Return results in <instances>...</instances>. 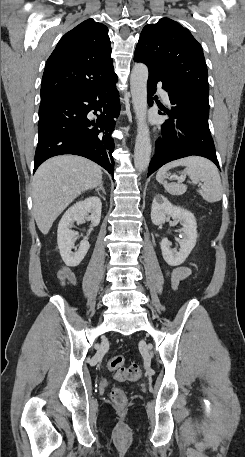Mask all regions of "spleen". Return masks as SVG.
Instances as JSON below:
<instances>
[{
    "label": "spleen",
    "mask_w": 245,
    "mask_h": 457,
    "mask_svg": "<svg viewBox=\"0 0 245 457\" xmlns=\"http://www.w3.org/2000/svg\"><path fill=\"white\" fill-rule=\"evenodd\" d=\"M174 166H186L183 174H188L194 184H197L199 180H204V184L197 190L203 196L204 200H208V202L221 200L223 188L218 168L214 162H211L208 158H204V156H186V158L172 160V162H168V164H164V166L159 168L156 174L158 182H161L170 194H184L187 190V184L167 182V180H164L167 170L174 168Z\"/></svg>",
    "instance_id": "obj_1"
}]
</instances>
